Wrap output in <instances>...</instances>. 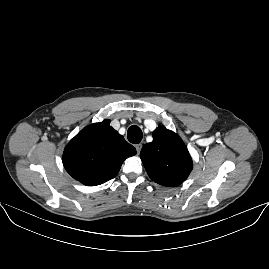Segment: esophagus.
Here are the masks:
<instances>
[{"mask_svg": "<svg viewBox=\"0 0 269 269\" xmlns=\"http://www.w3.org/2000/svg\"><path fill=\"white\" fill-rule=\"evenodd\" d=\"M142 146L143 145L141 143L135 145V148H136V151H137V155H139V153H140V151L142 149Z\"/></svg>", "mask_w": 269, "mask_h": 269, "instance_id": "esophagus-1", "label": "esophagus"}]
</instances>
